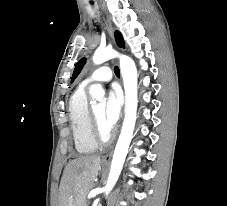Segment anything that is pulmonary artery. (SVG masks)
Listing matches in <instances>:
<instances>
[{
    "label": "pulmonary artery",
    "instance_id": "1",
    "mask_svg": "<svg viewBox=\"0 0 227 206\" xmlns=\"http://www.w3.org/2000/svg\"><path fill=\"white\" fill-rule=\"evenodd\" d=\"M112 70L107 66H102L92 72L86 79H84L80 87L85 88L93 82H108L112 79Z\"/></svg>",
    "mask_w": 227,
    "mask_h": 206
}]
</instances>
